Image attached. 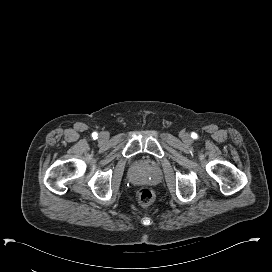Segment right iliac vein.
I'll list each match as a JSON object with an SVG mask.
<instances>
[{"mask_svg": "<svg viewBox=\"0 0 272 272\" xmlns=\"http://www.w3.org/2000/svg\"><path fill=\"white\" fill-rule=\"evenodd\" d=\"M99 138L101 140H106L108 138V134L105 132L100 133Z\"/></svg>", "mask_w": 272, "mask_h": 272, "instance_id": "right-iliac-vein-1", "label": "right iliac vein"}]
</instances>
